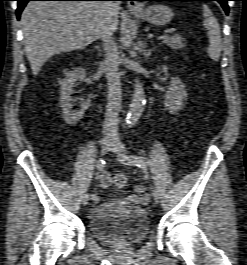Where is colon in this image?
Listing matches in <instances>:
<instances>
[{"mask_svg":"<svg viewBox=\"0 0 247 265\" xmlns=\"http://www.w3.org/2000/svg\"><path fill=\"white\" fill-rule=\"evenodd\" d=\"M114 183L118 187H124L127 184V178L121 173L116 174L114 177Z\"/></svg>","mask_w":247,"mask_h":265,"instance_id":"1","label":"colon"}]
</instances>
